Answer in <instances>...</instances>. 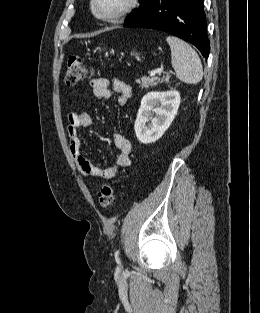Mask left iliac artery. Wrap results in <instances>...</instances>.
Wrapping results in <instances>:
<instances>
[{
    "label": "left iliac artery",
    "instance_id": "obj_1",
    "mask_svg": "<svg viewBox=\"0 0 260 313\" xmlns=\"http://www.w3.org/2000/svg\"><path fill=\"white\" fill-rule=\"evenodd\" d=\"M118 255H119V251H116V253H115V258H116L117 260L119 259Z\"/></svg>",
    "mask_w": 260,
    "mask_h": 313
}]
</instances>
